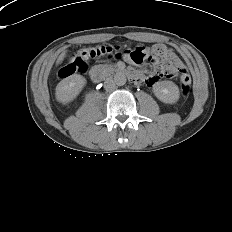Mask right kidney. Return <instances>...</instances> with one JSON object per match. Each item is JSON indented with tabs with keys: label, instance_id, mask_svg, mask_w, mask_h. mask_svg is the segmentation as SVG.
<instances>
[{
	"label": "right kidney",
	"instance_id": "obj_1",
	"mask_svg": "<svg viewBox=\"0 0 232 232\" xmlns=\"http://www.w3.org/2000/svg\"><path fill=\"white\" fill-rule=\"evenodd\" d=\"M85 82V78L77 74L60 81L56 87L57 101L65 104L74 100L82 90Z\"/></svg>",
	"mask_w": 232,
	"mask_h": 232
}]
</instances>
